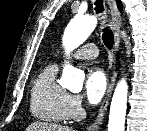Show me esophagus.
<instances>
[{
	"mask_svg": "<svg viewBox=\"0 0 147 131\" xmlns=\"http://www.w3.org/2000/svg\"><path fill=\"white\" fill-rule=\"evenodd\" d=\"M106 3L108 5L109 12L111 15L112 29H113L114 37H115L114 47H115V51H117L119 44H120L119 31L121 28V17H120V13L118 11L115 0H106ZM116 76H117V72H116V68H114L112 75L110 77L109 83H108L106 94L104 96L103 102H102L101 107L99 109L97 118L88 127V131H99V128L103 123V119H104V116L107 111V107H108V104H109V101L111 98V94H112V91H113V88L115 85Z\"/></svg>",
	"mask_w": 147,
	"mask_h": 131,
	"instance_id": "esophagus-1",
	"label": "esophagus"
}]
</instances>
